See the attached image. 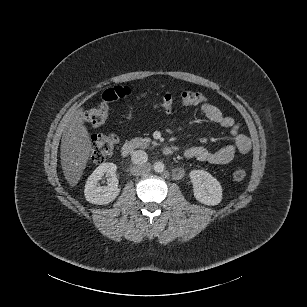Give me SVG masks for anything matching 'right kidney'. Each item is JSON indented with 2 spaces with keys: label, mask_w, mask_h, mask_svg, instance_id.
<instances>
[{
  "label": "right kidney",
  "mask_w": 307,
  "mask_h": 307,
  "mask_svg": "<svg viewBox=\"0 0 307 307\" xmlns=\"http://www.w3.org/2000/svg\"><path fill=\"white\" fill-rule=\"evenodd\" d=\"M117 166L114 163L101 164L88 178L85 184L84 196L87 202L94 205H107L116 200L121 193L116 179ZM106 174L107 187H99L98 181Z\"/></svg>",
  "instance_id": "1"
}]
</instances>
